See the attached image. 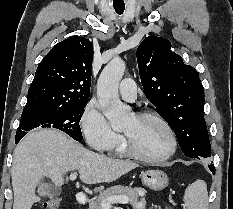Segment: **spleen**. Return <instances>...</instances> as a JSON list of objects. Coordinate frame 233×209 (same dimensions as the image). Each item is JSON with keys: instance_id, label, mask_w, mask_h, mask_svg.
Returning <instances> with one entry per match:
<instances>
[{"instance_id": "spleen-1", "label": "spleen", "mask_w": 233, "mask_h": 209, "mask_svg": "<svg viewBox=\"0 0 233 209\" xmlns=\"http://www.w3.org/2000/svg\"><path fill=\"white\" fill-rule=\"evenodd\" d=\"M186 209H208V192L204 180L193 182L185 192Z\"/></svg>"}]
</instances>
